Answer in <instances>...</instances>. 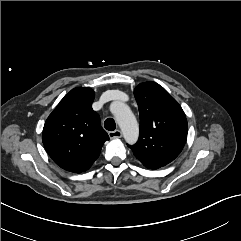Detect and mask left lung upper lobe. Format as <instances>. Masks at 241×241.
<instances>
[{"label": "left lung upper lobe", "mask_w": 241, "mask_h": 241, "mask_svg": "<svg viewBox=\"0 0 241 241\" xmlns=\"http://www.w3.org/2000/svg\"><path fill=\"white\" fill-rule=\"evenodd\" d=\"M134 95L139 107L140 135L128 145L135 157L152 170L172 162L182 151L188 124L178 102L159 84L138 85Z\"/></svg>", "instance_id": "5c2ea615"}]
</instances>
